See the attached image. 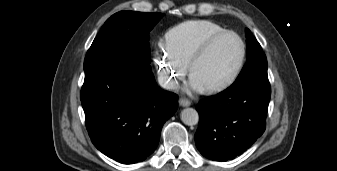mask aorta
<instances>
[{"label": "aorta", "instance_id": "1", "mask_svg": "<svg viewBox=\"0 0 337 171\" xmlns=\"http://www.w3.org/2000/svg\"><path fill=\"white\" fill-rule=\"evenodd\" d=\"M181 120L185 125H196L199 121L198 112L193 108H185L181 112Z\"/></svg>", "mask_w": 337, "mask_h": 171}]
</instances>
